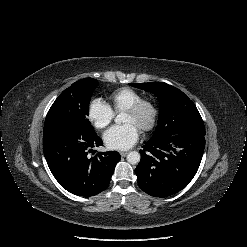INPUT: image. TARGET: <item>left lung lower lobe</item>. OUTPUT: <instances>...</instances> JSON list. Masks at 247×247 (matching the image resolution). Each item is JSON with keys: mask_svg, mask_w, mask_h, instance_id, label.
<instances>
[{"mask_svg": "<svg viewBox=\"0 0 247 247\" xmlns=\"http://www.w3.org/2000/svg\"><path fill=\"white\" fill-rule=\"evenodd\" d=\"M205 134L179 133L149 140L140 150L135 169L139 187L154 197H168L185 188L195 176L205 147Z\"/></svg>", "mask_w": 247, "mask_h": 247, "instance_id": "0a47b994", "label": "left lung lower lobe"}]
</instances>
